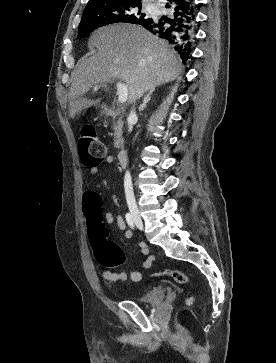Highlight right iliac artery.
Returning <instances> with one entry per match:
<instances>
[{
    "mask_svg": "<svg viewBox=\"0 0 276 363\" xmlns=\"http://www.w3.org/2000/svg\"><path fill=\"white\" fill-rule=\"evenodd\" d=\"M125 218H126V221H127L128 225L133 229L134 228V221H133L132 216L129 213H127L125 215Z\"/></svg>",
    "mask_w": 276,
    "mask_h": 363,
    "instance_id": "right-iliac-artery-1",
    "label": "right iliac artery"
}]
</instances>
